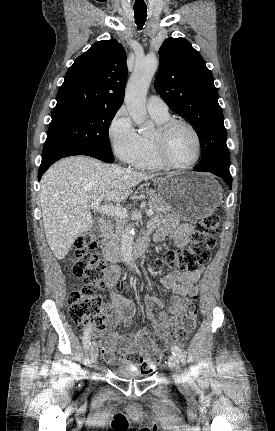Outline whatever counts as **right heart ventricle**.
Returning a JSON list of instances; mask_svg holds the SVG:
<instances>
[{
    "instance_id": "obj_1",
    "label": "right heart ventricle",
    "mask_w": 275,
    "mask_h": 431,
    "mask_svg": "<svg viewBox=\"0 0 275 431\" xmlns=\"http://www.w3.org/2000/svg\"><path fill=\"white\" fill-rule=\"evenodd\" d=\"M152 119L155 121V123L159 126L165 121L170 119L169 114H153L150 113ZM143 139V151L142 154L139 156V158L135 161L133 164L135 167L139 169L144 170H161L165 168L160 161L158 160L156 154H155V148L153 143V137L149 136H142Z\"/></svg>"
}]
</instances>
